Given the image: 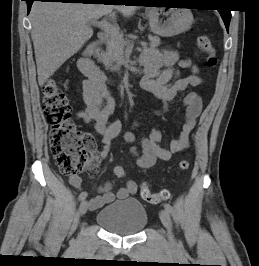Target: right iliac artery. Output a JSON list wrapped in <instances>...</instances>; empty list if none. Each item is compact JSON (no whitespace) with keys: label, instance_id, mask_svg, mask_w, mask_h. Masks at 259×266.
<instances>
[{"label":"right iliac artery","instance_id":"obj_1","mask_svg":"<svg viewBox=\"0 0 259 266\" xmlns=\"http://www.w3.org/2000/svg\"><path fill=\"white\" fill-rule=\"evenodd\" d=\"M87 197V192H81L80 195H79V201H83L85 200Z\"/></svg>","mask_w":259,"mask_h":266}]
</instances>
